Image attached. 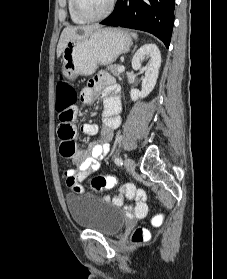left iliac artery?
<instances>
[{"label":"left iliac artery","instance_id":"left-iliac-artery-1","mask_svg":"<svg viewBox=\"0 0 227 279\" xmlns=\"http://www.w3.org/2000/svg\"><path fill=\"white\" fill-rule=\"evenodd\" d=\"M115 164L118 165V166H121L122 165V159L120 157H116L115 160H114Z\"/></svg>","mask_w":227,"mask_h":279}]
</instances>
